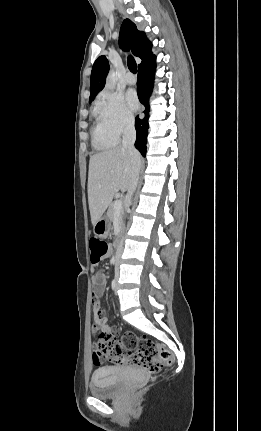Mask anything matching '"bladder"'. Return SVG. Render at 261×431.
I'll list each match as a JSON object with an SVG mask.
<instances>
[{
    "label": "bladder",
    "mask_w": 261,
    "mask_h": 431,
    "mask_svg": "<svg viewBox=\"0 0 261 431\" xmlns=\"http://www.w3.org/2000/svg\"><path fill=\"white\" fill-rule=\"evenodd\" d=\"M125 373L121 368L105 367L93 372L89 384L90 393L97 398H112L123 388Z\"/></svg>",
    "instance_id": "bladder-1"
}]
</instances>
